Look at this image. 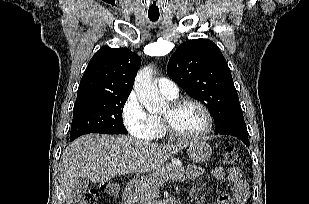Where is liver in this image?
<instances>
[{"label":"liver","instance_id":"obj_1","mask_svg":"<svg viewBox=\"0 0 309 204\" xmlns=\"http://www.w3.org/2000/svg\"><path fill=\"white\" fill-rule=\"evenodd\" d=\"M188 145L189 142L158 145L125 135H84L72 142L61 156L60 187L69 203L79 178L98 183L117 175L147 173Z\"/></svg>","mask_w":309,"mask_h":204}]
</instances>
